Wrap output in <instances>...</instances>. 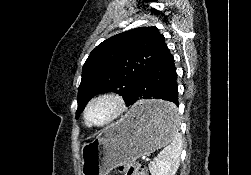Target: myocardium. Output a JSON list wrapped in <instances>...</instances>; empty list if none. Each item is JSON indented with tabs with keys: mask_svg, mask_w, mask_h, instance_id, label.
Instances as JSON below:
<instances>
[{
	"mask_svg": "<svg viewBox=\"0 0 251 175\" xmlns=\"http://www.w3.org/2000/svg\"><path fill=\"white\" fill-rule=\"evenodd\" d=\"M100 99H111L115 101L118 104L119 111H118L117 116L111 122L105 125L96 126L90 123L88 112L92 103ZM128 112H129V103L125 95L117 90H106V91H102L94 95L88 100L83 111V118H84V123L88 128L93 129V130H102V129L110 128L116 125L117 123L121 122L127 116Z\"/></svg>",
	"mask_w": 251,
	"mask_h": 175,
	"instance_id": "1",
	"label": "myocardium"
}]
</instances>
